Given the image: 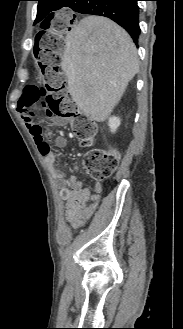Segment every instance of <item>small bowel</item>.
Wrapping results in <instances>:
<instances>
[{"instance_id":"obj_1","label":"small bowel","mask_w":183,"mask_h":329,"mask_svg":"<svg viewBox=\"0 0 183 329\" xmlns=\"http://www.w3.org/2000/svg\"><path fill=\"white\" fill-rule=\"evenodd\" d=\"M20 117L29 131L34 143L37 145L40 154L44 157L47 163H52L55 155L51 149V144L49 143L50 149L48 152L43 153L40 150L41 142L46 140L41 127L36 124L30 114H20ZM61 124H63V122H61ZM38 126L39 129H36ZM53 144L55 147H63L66 144V138L64 136H59L54 140ZM69 181L72 188L80 193V203L74 205L68 202L66 206V216L73 226H79L87 221L96 211L100 202V192L102 187L99 183L95 184V193L91 194L83 187V183L76 176H70Z\"/></svg>"}]
</instances>
